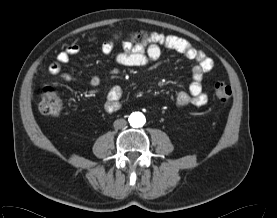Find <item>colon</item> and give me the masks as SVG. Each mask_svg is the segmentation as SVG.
I'll return each instance as SVG.
<instances>
[{
    "mask_svg": "<svg viewBox=\"0 0 277 218\" xmlns=\"http://www.w3.org/2000/svg\"><path fill=\"white\" fill-rule=\"evenodd\" d=\"M128 39L134 44H144L147 36L143 31H133L128 34ZM216 96L221 101H228L232 96V88L224 82H217L214 86ZM62 103L58 92L52 87H45L41 92L39 110L45 115H58L61 112Z\"/></svg>",
    "mask_w": 277,
    "mask_h": 218,
    "instance_id": "colon-1",
    "label": "colon"
}]
</instances>
